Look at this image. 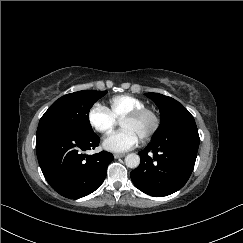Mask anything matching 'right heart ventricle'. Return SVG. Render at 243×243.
Returning a JSON list of instances; mask_svg holds the SVG:
<instances>
[{"label":"right heart ventricle","mask_w":243,"mask_h":243,"mask_svg":"<svg viewBox=\"0 0 243 243\" xmlns=\"http://www.w3.org/2000/svg\"><path fill=\"white\" fill-rule=\"evenodd\" d=\"M145 107L146 104L142 100L127 94L117 95L109 100V110L117 120L137 109Z\"/></svg>","instance_id":"obj_1"}]
</instances>
